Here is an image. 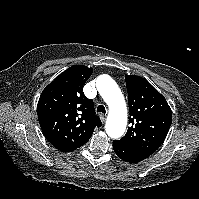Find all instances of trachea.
I'll list each match as a JSON object with an SVG mask.
<instances>
[{
	"label": "trachea",
	"instance_id": "trachea-1",
	"mask_svg": "<svg viewBox=\"0 0 199 199\" xmlns=\"http://www.w3.org/2000/svg\"><path fill=\"white\" fill-rule=\"evenodd\" d=\"M97 112L105 114L106 113L105 107L103 105H99L97 107Z\"/></svg>",
	"mask_w": 199,
	"mask_h": 199
}]
</instances>
